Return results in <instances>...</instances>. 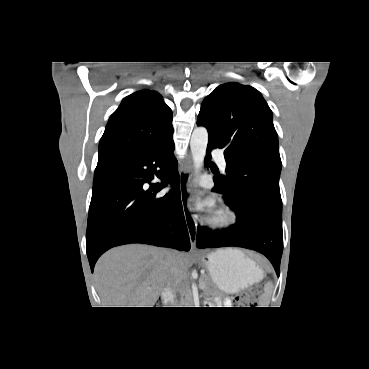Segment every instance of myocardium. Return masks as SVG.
<instances>
[{
	"label": "myocardium",
	"mask_w": 369,
	"mask_h": 369,
	"mask_svg": "<svg viewBox=\"0 0 369 369\" xmlns=\"http://www.w3.org/2000/svg\"><path fill=\"white\" fill-rule=\"evenodd\" d=\"M206 224L215 230H227L236 222V214L224 204H216L206 217Z\"/></svg>",
	"instance_id": "1"
}]
</instances>
